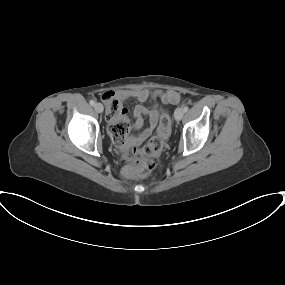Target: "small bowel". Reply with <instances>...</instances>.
Returning a JSON list of instances; mask_svg holds the SVG:
<instances>
[{"mask_svg":"<svg viewBox=\"0 0 285 285\" xmlns=\"http://www.w3.org/2000/svg\"><path fill=\"white\" fill-rule=\"evenodd\" d=\"M114 97L115 99H118L120 101H124L127 99H136L139 102H146L150 99L157 100L159 103L154 105L151 108H147L143 105H137L133 109V128L135 130L141 129L144 123V118L147 117L149 120V125L136 135H131L127 137V140L125 142L124 146L125 148H130L133 146H136L145 140H147L153 133L158 117L160 114V104H176L180 100V94L177 91L169 90V91H155L150 92L147 89H138V90H122L118 91L116 93L109 92L106 93ZM104 94V95H106ZM106 116L109 121V124H114L119 121H127V109L123 106L120 107V111L118 114H111L108 110H106Z\"/></svg>","mask_w":285,"mask_h":285,"instance_id":"c3829d8e","label":"small bowel"}]
</instances>
